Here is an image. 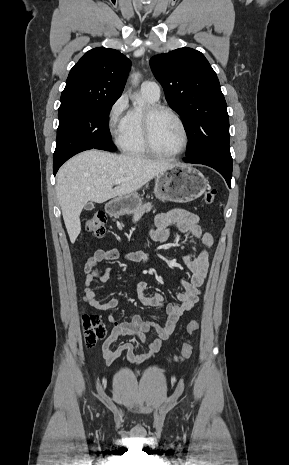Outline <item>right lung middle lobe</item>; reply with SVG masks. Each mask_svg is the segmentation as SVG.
Instances as JSON below:
<instances>
[{"mask_svg": "<svg viewBox=\"0 0 289 465\" xmlns=\"http://www.w3.org/2000/svg\"><path fill=\"white\" fill-rule=\"evenodd\" d=\"M116 100L59 110L53 162L68 160L75 154L92 148L115 151L108 128V115Z\"/></svg>", "mask_w": 289, "mask_h": 465, "instance_id": "dd1d6c3e", "label": "right lung middle lobe"}]
</instances>
